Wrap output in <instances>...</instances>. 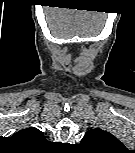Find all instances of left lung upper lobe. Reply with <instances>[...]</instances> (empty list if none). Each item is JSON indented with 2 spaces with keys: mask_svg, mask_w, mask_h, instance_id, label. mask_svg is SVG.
Returning a JSON list of instances; mask_svg holds the SVG:
<instances>
[{
  "mask_svg": "<svg viewBox=\"0 0 135 153\" xmlns=\"http://www.w3.org/2000/svg\"><path fill=\"white\" fill-rule=\"evenodd\" d=\"M80 145L94 153H116L126 150L125 146L117 138L99 128L87 131Z\"/></svg>",
  "mask_w": 135,
  "mask_h": 153,
  "instance_id": "5c2ea615",
  "label": "left lung upper lobe"
}]
</instances>
